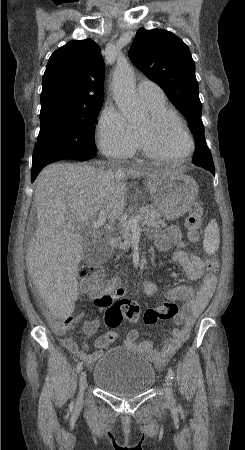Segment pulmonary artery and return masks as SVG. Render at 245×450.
<instances>
[{"label":"pulmonary artery","mask_w":245,"mask_h":450,"mask_svg":"<svg viewBox=\"0 0 245 450\" xmlns=\"http://www.w3.org/2000/svg\"><path fill=\"white\" fill-rule=\"evenodd\" d=\"M137 93L145 104L156 103L165 100L163 90L153 81L144 79L137 85Z\"/></svg>","instance_id":"obj_1"}]
</instances>
